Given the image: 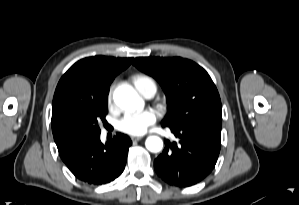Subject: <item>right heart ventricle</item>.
<instances>
[{"label": "right heart ventricle", "mask_w": 299, "mask_h": 205, "mask_svg": "<svg viewBox=\"0 0 299 205\" xmlns=\"http://www.w3.org/2000/svg\"><path fill=\"white\" fill-rule=\"evenodd\" d=\"M132 82H133L134 86L136 87V89L141 94L144 93V91L148 85H153L156 88V84L153 81V79L144 74H138V75L133 76Z\"/></svg>", "instance_id": "right-heart-ventricle-1"}]
</instances>
